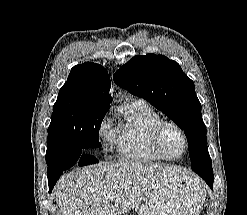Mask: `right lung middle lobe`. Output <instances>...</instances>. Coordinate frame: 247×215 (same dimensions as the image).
<instances>
[{
    "label": "right lung middle lobe",
    "mask_w": 247,
    "mask_h": 215,
    "mask_svg": "<svg viewBox=\"0 0 247 215\" xmlns=\"http://www.w3.org/2000/svg\"><path fill=\"white\" fill-rule=\"evenodd\" d=\"M108 107L83 101L70 91L59 92L48 128L46 161L60 151L100 147L99 128Z\"/></svg>",
    "instance_id": "obj_1"
}]
</instances>
